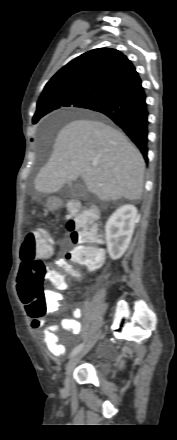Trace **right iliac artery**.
<instances>
[{
	"mask_svg": "<svg viewBox=\"0 0 177 440\" xmlns=\"http://www.w3.org/2000/svg\"><path fill=\"white\" fill-rule=\"evenodd\" d=\"M83 346H84V343H81L77 347H75L73 349V351L71 352L70 357L76 355L83 348Z\"/></svg>",
	"mask_w": 177,
	"mask_h": 440,
	"instance_id": "82829eb1",
	"label": "right iliac artery"
}]
</instances>
